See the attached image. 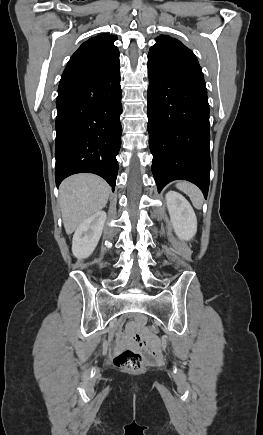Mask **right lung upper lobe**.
<instances>
[{"label": "right lung upper lobe", "mask_w": 263, "mask_h": 435, "mask_svg": "<svg viewBox=\"0 0 263 435\" xmlns=\"http://www.w3.org/2000/svg\"><path fill=\"white\" fill-rule=\"evenodd\" d=\"M117 36L101 34L84 42L69 60L59 87L93 79L119 67Z\"/></svg>", "instance_id": "obj_1"}]
</instances>
